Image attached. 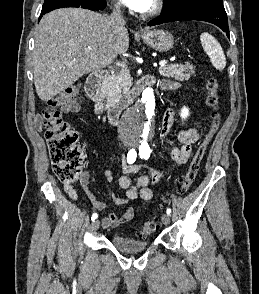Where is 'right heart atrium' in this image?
Returning <instances> with one entry per match:
<instances>
[{"label": "right heart atrium", "instance_id": "d8ad5b80", "mask_svg": "<svg viewBox=\"0 0 259 294\" xmlns=\"http://www.w3.org/2000/svg\"><path fill=\"white\" fill-rule=\"evenodd\" d=\"M113 9H114L115 11H119V5H118V4H114V5H113Z\"/></svg>", "mask_w": 259, "mask_h": 294}]
</instances>
